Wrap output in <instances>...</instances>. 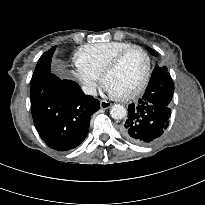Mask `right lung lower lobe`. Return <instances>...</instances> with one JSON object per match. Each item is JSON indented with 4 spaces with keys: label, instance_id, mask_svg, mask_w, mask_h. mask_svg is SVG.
I'll return each mask as SVG.
<instances>
[{
    "label": "right lung lower lobe",
    "instance_id": "obj_1",
    "mask_svg": "<svg viewBox=\"0 0 205 205\" xmlns=\"http://www.w3.org/2000/svg\"><path fill=\"white\" fill-rule=\"evenodd\" d=\"M56 46L39 59L30 81L31 112L42 140L52 149L67 151L85 139L90 117L99 108V101L85 95L70 80H60L50 72Z\"/></svg>",
    "mask_w": 205,
    "mask_h": 205
}]
</instances>
